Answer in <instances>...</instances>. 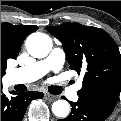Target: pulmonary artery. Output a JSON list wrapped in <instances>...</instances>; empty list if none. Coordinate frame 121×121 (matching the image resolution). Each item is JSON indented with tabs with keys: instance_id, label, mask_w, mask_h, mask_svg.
I'll list each match as a JSON object with an SVG mask.
<instances>
[{
	"instance_id": "1",
	"label": "pulmonary artery",
	"mask_w": 121,
	"mask_h": 121,
	"mask_svg": "<svg viewBox=\"0 0 121 121\" xmlns=\"http://www.w3.org/2000/svg\"><path fill=\"white\" fill-rule=\"evenodd\" d=\"M65 54L62 48L56 47L45 59L30 63L19 69H15L8 74L11 84L30 83L45 76L49 72H59L64 64ZM81 84H77L74 89L69 91V97L72 100L77 98L76 91L80 89ZM64 88H62L63 90Z\"/></svg>"
}]
</instances>
